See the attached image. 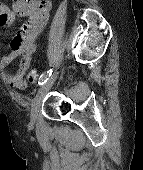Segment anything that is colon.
Listing matches in <instances>:
<instances>
[{"mask_svg": "<svg viewBox=\"0 0 143 170\" xmlns=\"http://www.w3.org/2000/svg\"><path fill=\"white\" fill-rule=\"evenodd\" d=\"M39 79V73L37 70H32L27 77L29 83H36Z\"/></svg>", "mask_w": 143, "mask_h": 170, "instance_id": "1", "label": "colon"}]
</instances>
